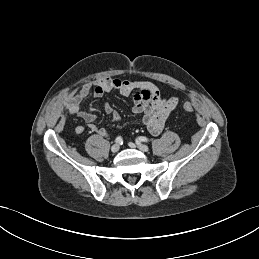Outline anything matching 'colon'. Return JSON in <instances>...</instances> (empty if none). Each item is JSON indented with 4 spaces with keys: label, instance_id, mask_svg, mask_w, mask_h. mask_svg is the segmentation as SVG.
Instances as JSON below:
<instances>
[{
    "label": "colon",
    "instance_id": "1",
    "mask_svg": "<svg viewBox=\"0 0 259 259\" xmlns=\"http://www.w3.org/2000/svg\"><path fill=\"white\" fill-rule=\"evenodd\" d=\"M182 109H183L185 112L190 113V112H192V111L194 110V107H193V105H192L191 103H189V102H184V103L182 104Z\"/></svg>",
    "mask_w": 259,
    "mask_h": 259
}]
</instances>
